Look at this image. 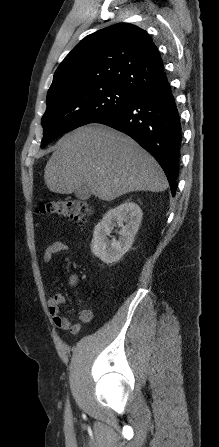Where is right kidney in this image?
Listing matches in <instances>:
<instances>
[{"label": "right kidney", "instance_id": "obj_1", "mask_svg": "<svg viewBox=\"0 0 219 447\" xmlns=\"http://www.w3.org/2000/svg\"><path fill=\"white\" fill-rule=\"evenodd\" d=\"M142 215L141 208L129 200L106 212L94 228L92 253L107 264L119 261L131 247ZM116 225L120 227L119 239L110 241L108 236Z\"/></svg>", "mask_w": 219, "mask_h": 447}]
</instances>
